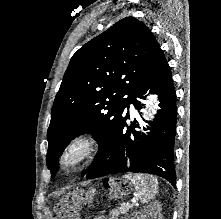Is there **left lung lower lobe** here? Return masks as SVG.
I'll return each mask as SVG.
<instances>
[{"mask_svg":"<svg viewBox=\"0 0 221 219\" xmlns=\"http://www.w3.org/2000/svg\"><path fill=\"white\" fill-rule=\"evenodd\" d=\"M148 90L159 96L161 109L153 121H146L149 123L144 128L146 133L135 130L140 128L137 121L128 126L129 113L124 111L102 153L87 171V179L123 172L148 173L165 178L175 187L176 91L168 62L160 48L129 100L135 108H141L137 98L145 99Z\"/></svg>","mask_w":221,"mask_h":219,"instance_id":"obj_1","label":"left lung lower lobe"}]
</instances>
